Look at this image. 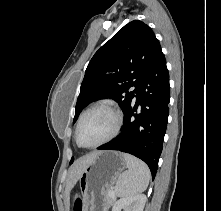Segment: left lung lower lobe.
Returning a JSON list of instances; mask_svg holds the SVG:
<instances>
[{
  "mask_svg": "<svg viewBox=\"0 0 221 211\" xmlns=\"http://www.w3.org/2000/svg\"><path fill=\"white\" fill-rule=\"evenodd\" d=\"M136 94V99L124 112L120 135L98 149L118 150L140 158L149 166L154 179L167 128L170 101L169 74L161 50Z\"/></svg>",
  "mask_w": 221,
  "mask_h": 211,
  "instance_id": "1",
  "label": "left lung lower lobe"
}]
</instances>
